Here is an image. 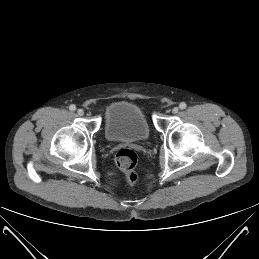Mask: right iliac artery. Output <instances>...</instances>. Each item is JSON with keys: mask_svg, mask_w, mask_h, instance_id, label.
Returning a JSON list of instances; mask_svg holds the SVG:
<instances>
[{"mask_svg": "<svg viewBox=\"0 0 259 259\" xmlns=\"http://www.w3.org/2000/svg\"><path fill=\"white\" fill-rule=\"evenodd\" d=\"M69 110L75 111V110H76V106H75L74 104H71V105L69 106Z\"/></svg>", "mask_w": 259, "mask_h": 259, "instance_id": "82829eb1", "label": "right iliac artery"}]
</instances>
